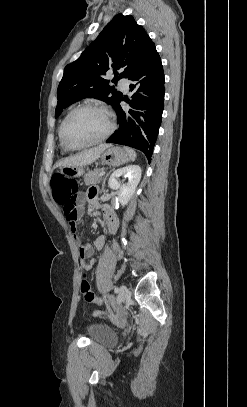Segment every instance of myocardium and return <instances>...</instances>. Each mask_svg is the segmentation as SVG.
<instances>
[{"label": "myocardium", "mask_w": 247, "mask_h": 407, "mask_svg": "<svg viewBox=\"0 0 247 407\" xmlns=\"http://www.w3.org/2000/svg\"><path fill=\"white\" fill-rule=\"evenodd\" d=\"M84 109L96 110V111L101 112L107 119L108 129L101 137H99L89 143L79 145V146H74V145L69 144L65 139V135H64L65 126L73 114H75L76 112H78L80 110H84ZM114 129H115V124L112 119V116L105 107H103L101 105H97V104H81V105H78L75 108H73L61 122L60 130H59V138H60L61 144L63 145V147L66 150L77 151V150L85 149V148L91 147L93 145H96V144H99V143L105 141L113 133Z\"/></svg>", "instance_id": "obj_1"}]
</instances>
